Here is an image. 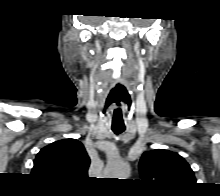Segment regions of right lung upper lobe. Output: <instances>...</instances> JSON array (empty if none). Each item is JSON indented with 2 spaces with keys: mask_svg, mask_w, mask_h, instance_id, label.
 Wrapping results in <instances>:
<instances>
[{
  "mask_svg": "<svg viewBox=\"0 0 220 196\" xmlns=\"http://www.w3.org/2000/svg\"><path fill=\"white\" fill-rule=\"evenodd\" d=\"M90 158L81 142L63 139L42 148L32 175L59 185H78L88 178Z\"/></svg>",
  "mask_w": 220,
  "mask_h": 196,
  "instance_id": "cb5924a9",
  "label": "right lung upper lobe"
}]
</instances>
